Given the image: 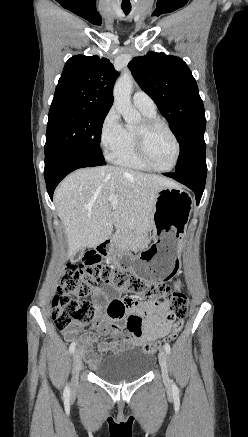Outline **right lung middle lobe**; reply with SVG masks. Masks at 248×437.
Here are the masks:
<instances>
[{"mask_svg": "<svg viewBox=\"0 0 248 437\" xmlns=\"http://www.w3.org/2000/svg\"><path fill=\"white\" fill-rule=\"evenodd\" d=\"M107 113L68 104H51L45 154L59 148H72L104 159L100 139Z\"/></svg>", "mask_w": 248, "mask_h": 437, "instance_id": "right-lung-middle-lobe-1", "label": "right lung middle lobe"}]
</instances>
